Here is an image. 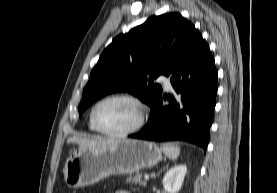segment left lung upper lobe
<instances>
[{"label":"left lung upper lobe","mask_w":277,"mask_h":193,"mask_svg":"<svg viewBox=\"0 0 277 193\" xmlns=\"http://www.w3.org/2000/svg\"><path fill=\"white\" fill-rule=\"evenodd\" d=\"M199 34L179 13H167L153 16L127 34L118 35L90 74L79 114L115 91H129L152 109L162 96L161 86L153 84V78L169 75L185 59Z\"/></svg>","instance_id":"obj_1"}]
</instances>
